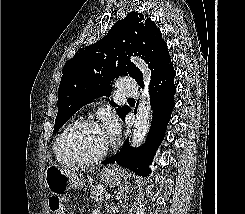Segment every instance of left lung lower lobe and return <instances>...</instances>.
<instances>
[{
  "mask_svg": "<svg viewBox=\"0 0 245 214\" xmlns=\"http://www.w3.org/2000/svg\"><path fill=\"white\" fill-rule=\"evenodd\" d=\"M175 75L173 65H171L158 79L150 84L149 94L150 104L153 110V119L146 143L141 147L133 148L129 145L128 137L120 151L104 160L102 162L103 164L116 162L120 166L140 176L150 174L149 165L165 136V131L171 118V112L175 106ZM129 112L130 109H128L127 113Z\"/></svg>",
  "mask_w": 245,
  "mask_h": 214,
  "instance_id": "0a47b994",
  "label": "left lung lower lobe"
}]
</instances>
